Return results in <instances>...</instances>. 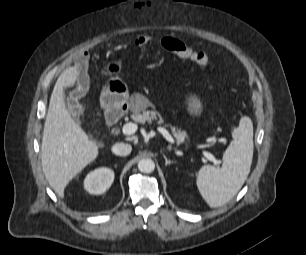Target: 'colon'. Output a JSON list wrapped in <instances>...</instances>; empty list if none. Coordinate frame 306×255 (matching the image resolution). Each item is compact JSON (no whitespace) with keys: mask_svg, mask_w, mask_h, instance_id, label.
I'll return each mask as SVG.
<instances>
[{"mask_svg":"<svg viewBox=\"0 0 306 255\" xmlns=\"http://www.w3.org/2000/svg\"><path fill=\"white\" fill-rule=\"evenodd\" d=\"M148 42V36H141L135 41V46L139 48L144 47ZM161 44L165 49L183 58L190 59L200 66H206L210 63V55L207 52L195 49L184 41L172 37H164L161 40ZM211 89L212 86H209V90Z\"/></svg>","mask_w":306,"mask_h":255,"instance_id":"colon-1","label":"colon"}]
</instances>
